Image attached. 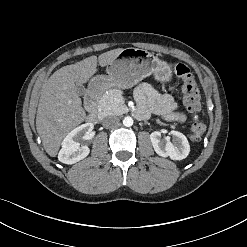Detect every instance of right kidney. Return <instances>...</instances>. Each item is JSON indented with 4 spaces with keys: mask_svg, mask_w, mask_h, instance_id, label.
I'll return each mask as SVG.
<instances>
[{
    "mask_svg": "<svg viewBox=\"0 0 247 247\" xmlns=\"http://www.w3.org/2000/svg\"><path fill=\"white\" fill-rule=\"evenodd\" d=\"M92 123L82 124L73 129L63 140L58 159L65 164H74L88 156L90 149L79 141L87 138L93 130Z\"/></svg>",
    "mask_w": 247,
    "mask_h": 247,
    "instance_id": "right-kidney-1",
    "label": "right kidney"
}]
</instances>
